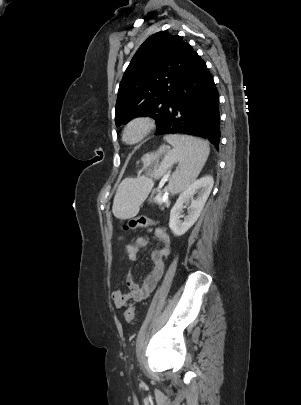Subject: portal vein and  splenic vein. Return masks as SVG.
Returning <instances> with one entry per match:
<instances>
[{"label":"portal vein and splenic vein","instance_id":"obj_1","mask_svg":"<svg viewBox=\"0 0 301 405\" xmlns=\"http://www.w3.org/2000/svg\"><path fill=\"white\" fill-rule=\"evenodd\" d=\"M165 181H166V179H163V180H162V183L164 184ZM155 201H156V202H164V198L161 196L160 193H158L157 196L155 197Z\"/></svg>","mask_w":301,"mask_h":405}]
</instances>
